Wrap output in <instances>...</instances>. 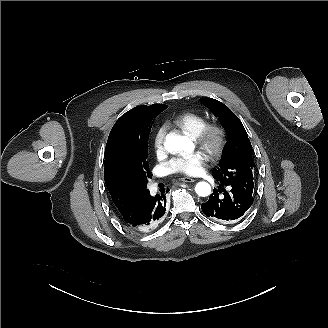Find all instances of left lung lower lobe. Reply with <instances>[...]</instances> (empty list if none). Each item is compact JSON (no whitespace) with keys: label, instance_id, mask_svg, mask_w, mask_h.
Here are the masks:
<instances>
[{"label":"left lung lower lobe","instance_id":"left-lung-lower-lobe-1","mask_svg":"<svg viewBox=\"0 0 328 328\" xmlns=\"http://www.w3.org/2000/svg\"><path fill=\"white\" fill-rule=\"evenodd\" d=\"M221 187L226 185L222 184ZM230 190L224 188L214 189L206 203H202L201 208L207 217L214 220L228 223L242 217L253 204L252 193L236 186H229ZM221 190L224 192L220 195Z\"/></svg>","mask_w":328,"mask_h":328}]
</instances>
